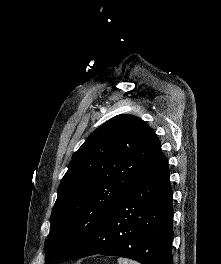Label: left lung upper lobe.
<instances>
[{"instance_id":"5c2ea615","label":"left lung upper lobe","mask_w":221,"mask_h":264,"mask_svg":"<svg viewBox=\"0 0 221 264\" xmlns=\"http://www.w3.org/2000/svg\"><path fill=\"white\" fill-rule=\"evenodd\" d=\"M162 156L154 130L136 116H115L92 132L60 182L44 244L45 264L80 246Z\"/></svg>"}]
</instances>
